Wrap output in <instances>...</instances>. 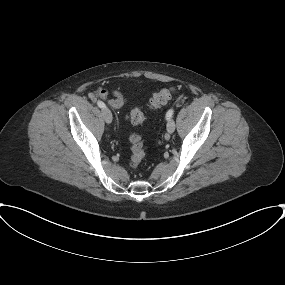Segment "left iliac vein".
Masks as SVG:
<instances>
[{
    "instance_id": "left-iliac-vein-1",
    "label": "left iliac vein",
    "mask_w": 285,
    "mask_h": 285,
    "mask_svg": "<svg viewBox=\"0 0 285 285\" xmlns=\"http://www.w3.org/2000/svg\"><path fill=\"white\" fill-rule=\"evenodd\" d=\"M175 130V122L173 119H169L168 122H167V132L169 134H172Z\"/></svg>"
}]
</instances>
